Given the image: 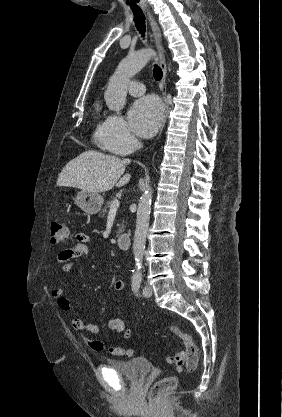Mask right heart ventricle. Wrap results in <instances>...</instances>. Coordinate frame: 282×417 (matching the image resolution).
Segmentation results:
<instances>
[{"mask_svg": "<svg viewBox=\"0 0 282 417\" xmlns=\"http://www.w3.org/2000/svg\"><path fill=\"white\" fill-rule=\"evenodd\" d=\"M97 114H98V122L96 127V136L97 138L101 139L103 141L104 132L106 129L107 120L109 117H101V110L97 108Z\"/></svg>", "mask_w": 282, "mask_h": 417, "instance_id": "obj_1", "label": "right heart ventricle"}]
</instances>
